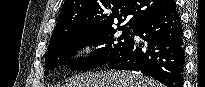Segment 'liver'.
<instances>
[{
  "instance_id": "liver-1",
  "label": "liver",
  "mask_w": 205,
  "mask_h": 87,
  "mask_svg": "<svg viewBox=\"0 0 205 87\" xmlns=\"http://www.w3.org/2000/svg\"><path fill=\"white\" fill-rule=\"evenodd\" d=\"M62 87H160L152 78L129 71L83 74Z\"/></svg>"
}]
</instances>
